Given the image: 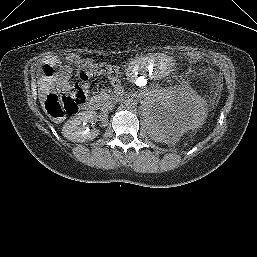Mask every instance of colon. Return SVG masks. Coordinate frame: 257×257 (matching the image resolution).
<instances>
[{"label":"colon","mask_w":257,"mask_h":257,"mask_svg":"<svg viewBox=\"0 0 257 257\" xmlns=\"http://www.w3.org/2000/svg\"><path fill=\"white\" fill-rule=\"evenodd\" d=\"M188 58L197 62L203 59V55L199 52L192 51L188 54ZM100 70L96 66L85 67L77 76L75 84L59 93H50L45 100L47 112L56 119L63 117L65 114H73L78 111L79 107L86 100L88 92L91 90L89 78L92 74ZM46 76L52 75L50 66L43 68Z\"/></svg>","instance_id":"obj_1"}]
</instances>
